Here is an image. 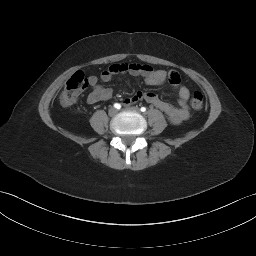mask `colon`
Masks as SVG:
<instances>
[{
    "label": "colon",
    "instance_id": "5ec220e1",
    "mask_svg": "<svg viewBox=\"0 0 256 256\" xmlns=\"http://www.w3.org/2000/svg\"><path fill=\"white\" fill-rule=\"evenodd\" d=\"M89 81L82 72L74 73L66 82L64 90L60 95V102L64 106L73 105L83 90L88 86ZM190 105L194 110H200L204 105V96L201 92L192 94Z\"/></svg>",
    "mask_w": 256,
    "mask_h": 256
}]
</instances>
